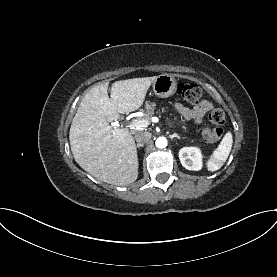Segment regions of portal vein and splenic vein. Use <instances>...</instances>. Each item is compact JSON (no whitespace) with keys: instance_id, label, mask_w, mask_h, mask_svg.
Wrapping results in <instances>:
<instances>
[{"instance_id":"portal-vein-and-splenic-vein-1","label":"portal vein and splenic vein","mask_w":277,"mask_h":277,"mask_svg":"<svg viewBox=\"0 0 277 277\" xmlns=\"http://www.w3.org/2000/svg\"><path fill=\"white\" fill-rule=\"evenodd\" d=\"M158 121H159L158 117H151L150 120L133 119L130 126L139 129V128L147 127L150 124V122L157 123Z\"/></svg>"}]
</instances>
